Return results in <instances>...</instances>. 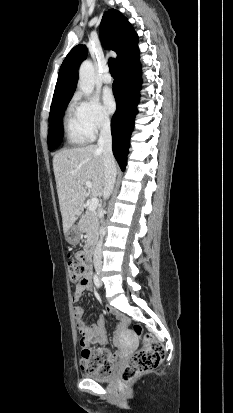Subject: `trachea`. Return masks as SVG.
Instances as JSON below:
<instances>
[{"instance_id": "3493384b", "label": "trachea", "mask_w": 233, "mask_h": 413, "mask_svg": "<svg viewBox=\"0 0 233 413\" xmlns=\"http://www.w3.org/2000/svg\"><path fill=\"white\" fill-rule=\"evenodd\" d=\"M109 71L111 74H116V61L114 58L108 60Z\"/></svg>"}]
</instances>
